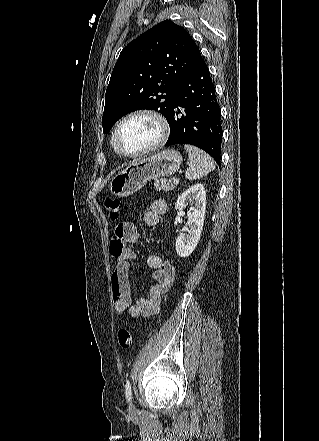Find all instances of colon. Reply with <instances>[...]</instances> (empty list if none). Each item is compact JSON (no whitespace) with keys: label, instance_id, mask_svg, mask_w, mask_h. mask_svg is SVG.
Segmentation results:
<instances>
[{"label":"colon","instance_id":"colon-1","mask_svg":"<svg viewBox=\"0 0 319 441\" xmlns=\"http://www.w3.org/2000/svg\"><path fill=\"white\" fill-rule=\"evenodd\" d=\"M105 209L110 219L118 220L121 216V204L118 199L107 198L105 200ZM118 343L121 348L129 349L132 346V333L127 328H121L118 331Z\"/></svg>","mask_w":319,"mask_h":441}]
</instances>
